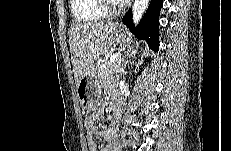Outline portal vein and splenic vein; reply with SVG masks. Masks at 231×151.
<instances>
[{"mask_svg":"<svg viewBox=\"0 0 231 151\" xmlns=\"http://www.w3.org/2000/svg\"><path fill=\"white\" fill-rule=\"evenodd\" d=\"M121 53H117V54H113V55H111L110 57H109V60L110 61H117L118 59H120L121 58Z\"/></svg>","mask_w":231,"mask_h":151,"instance_id":"1","label":"portal vein and splenic vein"}]
</instances>
